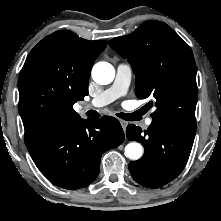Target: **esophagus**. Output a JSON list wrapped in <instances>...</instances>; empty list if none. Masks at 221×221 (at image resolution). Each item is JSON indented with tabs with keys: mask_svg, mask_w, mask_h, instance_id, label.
Here are the masks:
<instances>
[{
	"mask_svg": "<svg viewBox=\"0 0 221 221\" xmlns=\"http://www.w3.org/2000/svg\"><path fill=\"white\" fill-rule=\"evenodd\" d=\"M120 123H121L122 128L125 130L128 125V122L124 120H120Z\"/></svg>",
	"mask_w": 221,
	"mask_h": 221,
	"instance_id": "obj_1",
	"label": "esophagus"
}]
</instances>
